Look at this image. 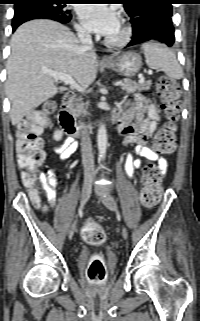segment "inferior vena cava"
<instances>
[{
	"instance_id": "inferior-vena-cava-1",
	"label": "inferior vena cava",
	"mask_w": 200,
	"mask_h": 321,
	"mask_svg": "<svg viewBox=\"0 0 200 321\" xmlns=\"http://www.w3.org/2000/svg\"><path fill=\"white\" fill-rule=\"evenodd\" d=\"M77 35L84 49L93 50L92 38L88 31L79 29ZM81 152L85 175L94 176L96 171L94 169L92 144L84 123L81 124Z\"/></svg>"
}]
</instances>
